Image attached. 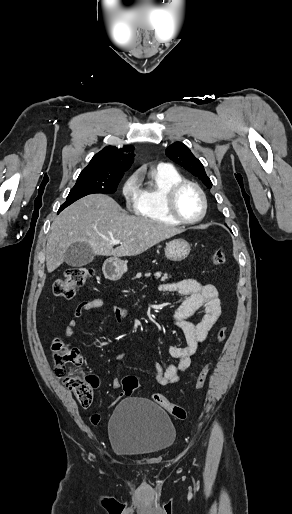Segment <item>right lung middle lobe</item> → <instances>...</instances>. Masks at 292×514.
Listing matches in <instances>:
<instances>
[{
    "label": "right lung middle lobe",
    "mask_w": 292,
    "mask_h": 514,
    "mask_svg": "<svg viewBox=\"0 0 292 514\" xmlns=\"http://www.w3.org/2000/svg\"><path fill=\"white\" fill-rule=\"evenodd\" d=\"M121 178H107L79 175L75 186L70 190L67 200L61 205L59 212L76 200L94 193H115Z\"/></svg>",
    "instance_id": "obj_1"
}]
</instances>
